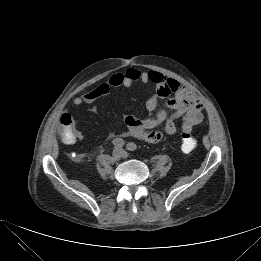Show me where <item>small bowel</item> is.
I'll return each instance as SVG.
<instances>
[{
  "mask_svg": "<svg viewBox=\"0 0 261 261\" xmlns=\"http://www.w3.org/2000/svg\"><path fill=\"white\" fill-rule=\"evenodd\" d=\"M137 82L155 85V92L146 102L148 111L154 112L161 99H166V101L152 117L139 119L132 115L126 116L124 120L126 130L119 134L121 137H134L145 142L156 143L163 138V133L156 130L161 124H164L167 134L173 135L177 132V121L179 120H181L183 133H190L196 125L202 122L203 105L197 94L182 83L154 70L140 71L136 68H129L124 72L114 73L106 82L75 97L72 102L76 107L90 104L108 95L113 88L130 87ZM170 110H173V113L168 115ZM81 138L82 134L76 131V137L72 143Z\"/></svg>",
  "mask_w": 261,
  "mask_h": 261,
  "instance_id": "1",
  "label": "small bowel"
}]
</instances>
